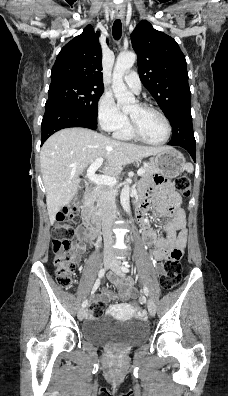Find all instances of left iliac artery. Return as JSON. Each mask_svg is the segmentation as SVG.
<instances>
[{
	"label": "left iliac artery",
	"instance_id": "left-iliac-artery-1",
	"mask_svg": "<svg viewBox=\"0 0 228 396\" xmlns=\"http://www.w3.org/2000/svg\"><path fill=\"white\" fill-rule=\"evenodd\" d=\"M122 270L124 271V272H129V265L125 262L124 263V265L122 266ZM143 291H144V294L146 295V296H148V288L146 287V286H144L143 287Z\"/></svg>",
	"mask_w": 228,
	"mask_h": 396
}]
</instances>
